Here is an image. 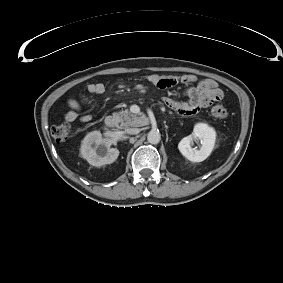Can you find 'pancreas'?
Listing matches in <instances>:
<instances>
[{"label": "pancreas", "mask_w": 283, "mask_h": 283, "mask_svg": "<svg viewBox=\"0 0 283 283\" xmlns=\"http://www.w3.org/2000/svg\"><path fill=\"white\" fill-rule=\"evenodd\" d=\"M113 116L120 122V128L140 126V117L131 113L128 109L114 113Z\"/></svg>", "instance_id": "1"}]
</instances>
